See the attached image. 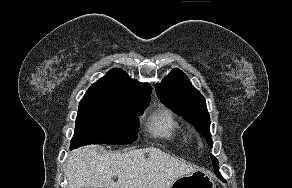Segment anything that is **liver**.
Instances as JSON below:
<instances>
[{"label": "liver", "instance_id": "6515ba94", "mask_svg": "<svg viewBox=\"0 0 292 188\" xmlns=\"http://www.w3.org/2000/svg\"><path fill=\"white\" fill-rule=\"evenodd\" d=\"M196 170L155 147L101 153L95 146H86L69 155L65 174L68 188H169Z\"/></svg>", "mask_w": 292, "mask_h": 188}]
</instances>
